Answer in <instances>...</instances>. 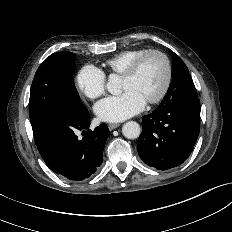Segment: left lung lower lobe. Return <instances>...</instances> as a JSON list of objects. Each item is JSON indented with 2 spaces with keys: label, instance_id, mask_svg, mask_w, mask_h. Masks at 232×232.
<instances>
[{
  "label": "left lung lower lobe",
  "instance_id": "obj_1",
  "mask_svg": "<svg viewBox=\"0 0 232 232\" xmlns=\"http://www.w3.org/2000/svg\"><path fill=\"white\" fill-rule=\"evenodd\" d=\"M137 143L140 158L158 170L182 164L193 151L200 131V101L179 97L142 117Z\"/></svg>",
  "mask_w": 232,
  "mask_h": 232
}]
</instances>
